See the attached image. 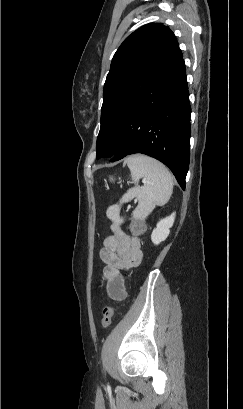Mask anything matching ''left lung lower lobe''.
Wrapping results in <instances>:
<instances>
[{"mask_svg":"<svg viewBox=\"0 0 243 409\" xmlns=\"http://www.w3.org/2000/svg\"><path fill=\"white\" fill-rule=\"evenodd\" d=\"M189 92L179 47L142 91L126 118L110 162L142 153L163 162L185 189L189 167Z\"/></svg>","mask_w":243,"mask_h":409,"instance_id":"left-lung-lower-lobe-1","label":"left lung lower lobe"}]
</instances>
